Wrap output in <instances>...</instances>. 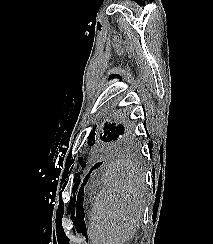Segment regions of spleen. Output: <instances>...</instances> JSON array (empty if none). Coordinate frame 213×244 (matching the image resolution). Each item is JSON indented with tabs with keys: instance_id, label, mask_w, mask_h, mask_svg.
Instances as JSON below:
<instances>
[{
	"instance_id": "spleen-1",
	"label": "spleen",
	"mask_w": 213,
	"mask_h": 244,
	"mask_svg": "<svg viewBox=\"0 0 213 244\" xmlns=\"http://www.w3.org/2000/svg\"><path fill=\"white\" fill-rule=\"evenodd\" d=\"M101 181L90 214V237L95 244H124L140 226L145 177L132 165L116 161L103 168Z\"/></svg>"
}]
</instances>
